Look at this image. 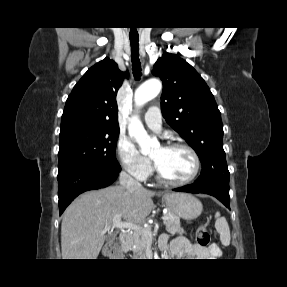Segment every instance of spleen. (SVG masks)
Segmentation results:
<instances>
[{"label":"spleen","instance_id":"obj_1","mask_svg":"<svg viewBox=\"0 0 287 287\" xmlns=\"http://www.w3.org/2000/svg\"><path fill=\"white\" fill-rule=\"evenodd\" d=\"M215 218H216L215 228L217 232L220 234L221 243L224 246H229L231 236H230V229H229L227 220L224 217H221L220 213H216Z\"/></svg>","mask_w":287,"mask_h":287}]
</instances>
